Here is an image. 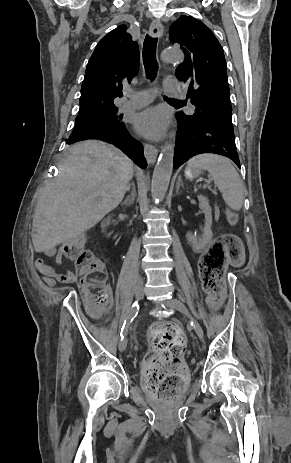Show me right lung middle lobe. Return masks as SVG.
<instances>
[{
    "label": "right lung middle lobe",
    "instance_id": "1",
    "mask_svg": "<svg viewBox=\"0 0 291 463\" xmlns=\"http://www.w3.org/2000/svg\"><path fill=\"white\" fill-rule=\"evenodd\" d=\"M116 113L117 109H111L86 117H77L75 128L70 137L95 130L118 128L124 125L121 121L122 116H118Z\"/></svg>",
    "mask_w": 291,
    "mask_h": 463
}]
</instances>
